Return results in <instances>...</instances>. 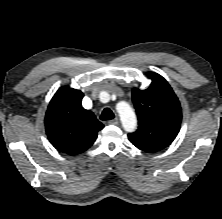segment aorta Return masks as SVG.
<instances>
[{
    "label": "aorta",
    "mask_w": 222,
    "mask_h": 219,
    "mask_svg": "<svg viewBox=\"0 0 222 219\" xmlns=\"http://www.w3.org/2000/svg\"><path fill=\"white\" fill-rule=\"evenodd\" d=\"M116 109L124 130L133 132L137 127V119L131 106L127 102L121 101L117 104Z\"/></svg>",
    "instance_id": "aorta-1"
}]
</instances>
